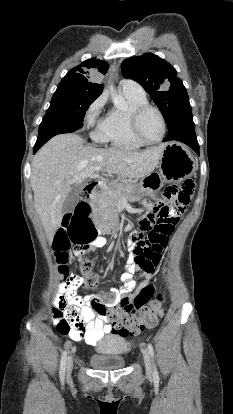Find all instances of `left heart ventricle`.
<instances>
[{
	"label": "left heart ventricle",
	"instance_id": "b2bd125f",
	"mask_svg": "<svg viewBox=\"0 0 233 414\" xmlns=\"http://www.w3.org/2000/svg\"><path fill=\"white\" fill-rule=\"evenodd\" d=\"M140 129L146 139L157 140L162 133V122L159 115L155 111H147L140 120Z\"/></svg>",
	"mask_w": 233,
	"mask_h": 414
}]
</instances>
